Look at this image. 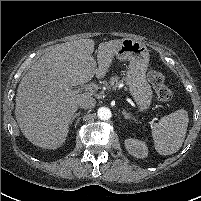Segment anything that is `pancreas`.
I'll use <instances>...</instances> for the list:
<instances>
[{
  "label": "pancreas",
  "instance_id": "obj_1",
  "mask_svg": "<svg viewBox=\"0 0 201 201\" xmlns=\"http://www.w3.org/2000/svg\"><path fill=\"white\" fill-rule=\"evenodd\" d=\"M121 82L119 81L118 76H114L110 78V81L106 83L107 88H117Z\"/></svg>",
  "mask_w": 201,
  "mask_h": 201
}]
</instances>
